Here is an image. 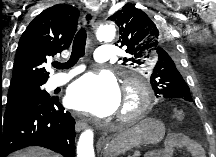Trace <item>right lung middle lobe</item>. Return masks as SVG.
<instances>
[{
  "label": "right lung middle lobe",
  "instance_id": "1",
  "mask_svg": "<svg viewBox=\"0 0 216 157\" xmlns=\"http://www.w3.org/2000/svg\"><path fill=\"white\" fill-rule=\"evenodd\" d=\"M51 99L49 94L42 88V85L14 90L8 92L5 112L15 110L24 105L44 103ZM0 115H2L1 105Z\"/></svg>",
  "mask_w": 216,
  "mask_h": 157
}]
</instances>
